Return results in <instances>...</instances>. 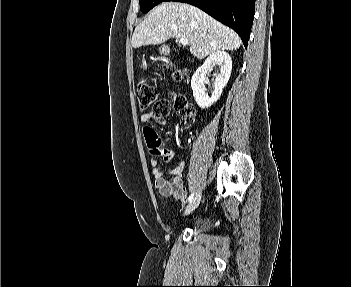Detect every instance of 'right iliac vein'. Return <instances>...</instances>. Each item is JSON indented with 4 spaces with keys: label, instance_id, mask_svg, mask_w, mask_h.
Wrapping results in <instances>:
<instances>
[{
    "label": "right iliac vein",
    "instance_id": "63e3f726",
    "mask_svg": "<svg viewBox=\"0 0 351 287\" xmlns=\"http://www.w3.org/2000/svg\"><path fill=\"white\" fill-rule=\"evenodd\" d=\"M201 200V194L196 195V197L187 205L184 214L189 215L193 212L199 205Z\"/></svg>",
    "mask_w": 351,
    "mask_h": 287
}]
</instances>
